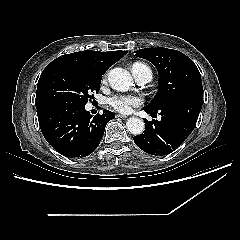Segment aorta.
<instances>
[{
  "mask_svg": "<svg viewBox=\"0 0 240 240\" xmlns=\"http://www.w3.org/2000/svg\"><path fill=\"white\" fill-rule=\"evenodd\" d=\"M108 82L110 86L117 91H128L133 86V78L131 74L123 68H113L108 73ZM128 131L133 135H140L145 128L142 119L131 117L126 122Z\"/></svg>",
  "mask_w": 240,
  "mask_h": 240,
  "instance_id": "obj_1",
  "label": "aorta"
}]
</instances>
